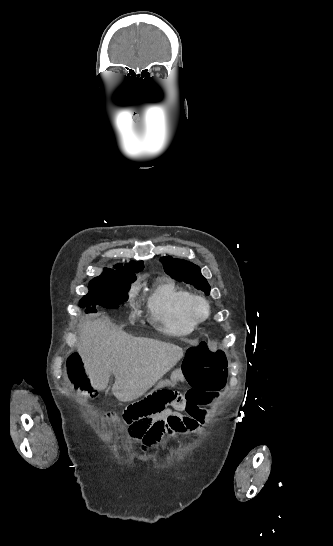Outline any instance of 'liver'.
Segmentation results:
<instances>
[{"label":"liver","instance_id":"1","mask_svg":"<svg viewBox=\"0 0 333 546\" xmlns=\"http://www.w3.org/2000/svg\"><path fill=\"white\" fill-rule=\"evenodd\" d=\"M77 351L92 389L105 390L113 373L112 393L122 402L145 394L183 356L179 346L134 337L91 316L80 324Z\"/></svg>","mask_w":333,"mask_h":546}]
</instances>
